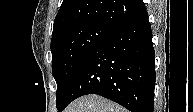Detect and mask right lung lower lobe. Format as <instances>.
<instances>
[{"mask_svg":"<svg viewBox=\"0 0 193 112\" xmlns=\"http://www.w3.org/2000/svg\"><path fill=\"white\" fill-rule=\"evenodd\" d=\"M154 88L155 52L145 8L89 54L58 111L82 95L98 94L131 112H153Z\"/></svg>","mask_w":193,"mask_h":112,"instance_id":"1","label":"right lung lower lobe"}]
</instances>
